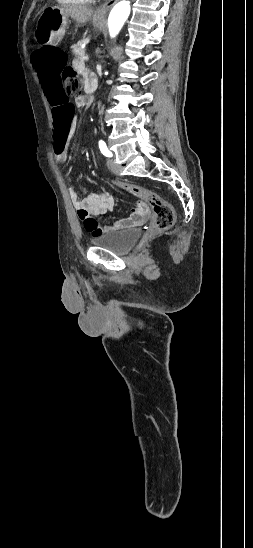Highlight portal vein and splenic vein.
<instances>
[{"label": "portal vein and splenic vein", "instance_id": "obj_1", "mask_svg": "<svg viewBox=\"0 0 253 548\" xmlns=\"http://www.w3.org/2000/svg\"><path fill=\"white\" fill-rule=\"evenodd\" d=\"M82 59L87 61L89 59V57L87 55H84Z\"/></svg>", "mask_w": 253, "mask_h": 548}]
</instances>
